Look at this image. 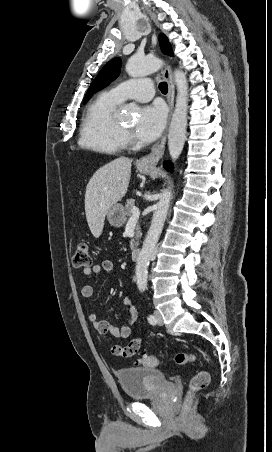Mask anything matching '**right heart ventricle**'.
Here are the masks:
<instances>
[{"instance_id": "e07e8e85", "label": "right heart ventricle", "mask_w": 272, "mask_h": 452, "mask_svg": "<svg viewBox=\"0 0 272 452\" xmlns=\"http://www.w3.org/2000/svg\"><path fill=\"white\" fill-rule=\"evenodd\" d=\"M120 101L110 93H101L88 108L83 119L79 146L90 151L115 154L125 146V137L114 113Z\"/></svg>"}]
</instances>
